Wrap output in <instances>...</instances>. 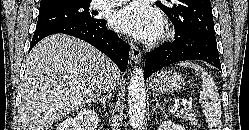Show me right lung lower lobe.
<instances>
[{"instance_id":"obj_1","label":"right lung lower lobe","mask_w":249,"mask_h":130,"mask_svg":"<svg viewBox=\"0 0 249 130\" xmlns=\"http://www.w3.org/2000/svg\"><path fill=\"white\" fill-rule=\"evenodd\" d=\"M57 33L68 34L90 43L112 59L121 72L126 71L130 46L107 29L105 19H97L94 23H64L36 28L29 51L43 38Z\"/></svg>"}]
</instances>
